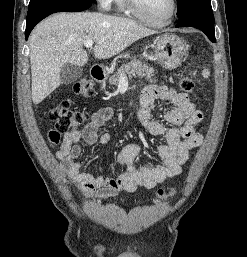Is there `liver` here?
<instances>
[{"mask_svg": "<svg viewBox=\"0 0 247 257\" xmlns=\"http://www.w3.org/2000/svg\"><path fill=\"white\" fill-rule=\"evenodd\" d=\"M156 32L123 17L96 12L58 13L36 26L30 36L32 101L42 102L61 83L64 64L78 67L88 61L86 40L95 42L97 59H108L137 40Z\"/></svg>", "mask_w": 247, "mask_h": 257, "instance_id": "1", "label": "liver"}]
</instances>
